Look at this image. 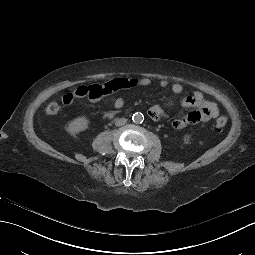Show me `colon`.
<instances>
[{"mask_svg": "<svg viewBox=\"0 0 255 255\" xmlns=\"http://www.w3.org/2000/svg\"><path fill=\"white\" fill-rule=\"evenodd\" d=\"M60 111V106L56 102H50L46 108L45 112L48 116H55ZM227 124V118L225 116H219L213 124L210 125V129L213 132H221Z\"/></svg>", "mask_w": 255, "mask_h": 255, "instance_id": "obj_1", "label": "colon"}]
</instances>
